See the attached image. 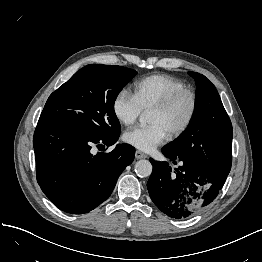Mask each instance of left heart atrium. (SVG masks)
Returning <instances> with one entry per match:
<instances>
[{
	"mask_svg": "<svg viewBox=\"0 0 262 262\" xmlns=\"http://www.w3.org/2000/svg\"><path fill=\"white\" fill-rule=\"evenodd\" d=\"M168 137L167 131L159 123L136 126L127 130L124 141L142 151H151L162 144Z\"/></svg>",
	"mask_w": 262,
	"mask_h": 262,
	"instance_id": "1",
	"label": "left heart atrium"
}]
</instances>
